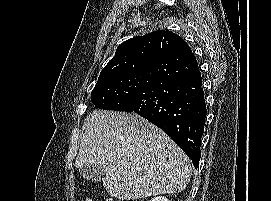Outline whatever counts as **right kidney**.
<instances>
[{
    "instance_id": "ca27d5eb",
    "label": "right kidney",
    "mask_w": 271,
    "mask_h": 201,
    "mask_svg": "<svg viewBox=\"0 0 271 201\" xmlns=\"http://www.w3.org/2000/svg\"><path fill=\"white\" fill-rule=\"evenodd\" d=\"M150 201H170V200H168V198H166L165 196H157L151 199Z\"/></svg>"
}]
</instances>
